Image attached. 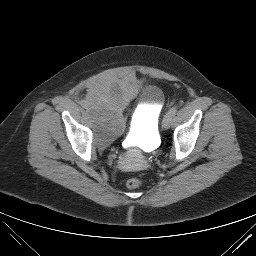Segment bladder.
Masks as SVG:
<instances>
[{
	"label": "bladder",
	"mask_w": 256,
	"mask_h": 256,
	"mask_svg": "<svg viewBox=\"0 0 256 256\" xmlns=\"http://www.w3.org/2000/svg\"><path fill=\"white\" fill-rule=\"evenodd\" d=\"M141 96L144 104L136 114L131 136L153 143L158 138V121L165 96L155 85L140 88L134 78L110 75L99 79L86 96V112L96 142L107 146L125 130L124 111Z\"/></svg>",
	"instance_id": "obj_1"
}]
</instances>
